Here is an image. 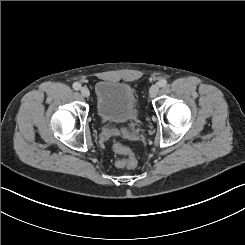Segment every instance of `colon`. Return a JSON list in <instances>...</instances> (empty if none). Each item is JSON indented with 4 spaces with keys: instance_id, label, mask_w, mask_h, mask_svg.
Instances as JSON below:
<instances>
[{
    "instance_id": "obj_1",
    "label": "colon",
    "mask_w": 245,
    "mask_h": 245,
    "mask_svg": "<svg viewBox=\"0 0 245 245\" xmlns=\"http://www.w3.org/2000/svg\"><path fill=\"white\" fill-rule=\"evenodd\" d=\"M113 151L116 154L125 155L126 157L118 161V165L123 168H134L136 166V158L132 154L130 148L119 141L113 143Z\"/></svg>"
}]
</instances>
